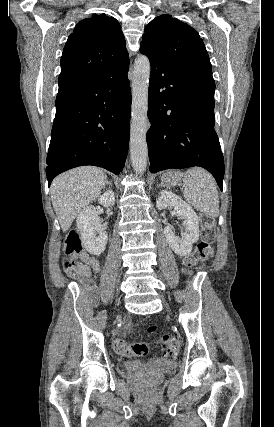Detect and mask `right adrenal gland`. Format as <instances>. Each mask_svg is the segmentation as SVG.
I'll use <instances>...</instances> for the list:
<instances>
[{
  "mask_svg": "<svg viewBox=\"0 0 274 427\" xmlns=\"http://www.w3.org/2000/svg\"><path fill=\"white\" fill-rule=\"evenodd\" d=\"M107 184L108 186H112L111 182H109V180H107Z\"/></svg>",
  "mask_w": 274,
  "mask_h": 427,
  "instance_id": "2a0ac1e0",
  "label": "right adrenal gland"
}]
</instances>
